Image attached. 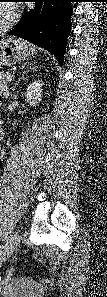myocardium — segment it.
Instances as JSON below:
<instances>
[{"instance_id":"f54148a6","label":"myocardium","mask_w":107,"mask_h":297,"mask_svg":"<svg viewBox=\"0 0 107 297\" xmlns=\"http://www.w3.org/2000/svg\"><path fill=\"white\" fill-rule=\"evenodd\" d=\"M3 9L7 11V17L0 25V34L5 33L16 19L17 11L14 6L2 5Z\"/></svg>"}]
</instances>
